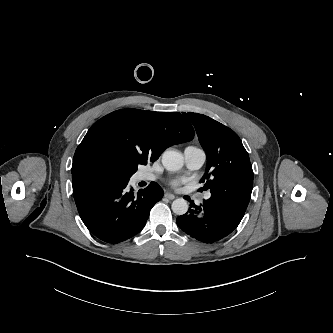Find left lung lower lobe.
Listing matches in <instances>:
<instances>
[{
	"mask_svg": "<svg viewBox=\"0 0 333 333\" xmlns=\"http://www.w3.org/2000/svg\"><path fill=\"white\" fill-rule=\"evenodd\" d=\"M211 198L176 219L177 225L199 241L212 243L229 235L242 220L253 188L250 163L224 173Z\"/></svg>",
	"mask_w": 333,
	"mask_h": 333,
	"instance_id": "obj_1",
	"label": "left lung lower lobe"
}]
</instances>
